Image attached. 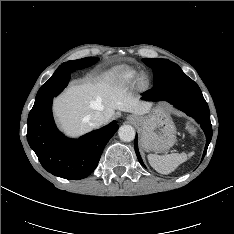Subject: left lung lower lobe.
I'll return each instance as SVG.
<instances>
[{
  "label": "left lung lower lobe",
  "instance_id": "left-lung-lower-lobe-1",
  "mask_svg": "<svg viewBox=\"0 0 234 234\" xmlns=\"http://www.w3.org/2000/svg\"><path fill=\"white\" fill-rule=\"evenodd\" d=\"M142 99L152 101L167 100L176 108L185 112L187 115L192 116L199 124H201L207 138L203 154L204 158L212 138L210 112L199 86L192 79L187 75L173 79L159 87H154L152 90L143 93ZM134 147L139 162L145 167L138 151L137 135L135 137Z\"/></svg>",
  "mask_w": 234,
  "mask_h": 234
}]
</instances>
